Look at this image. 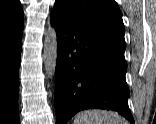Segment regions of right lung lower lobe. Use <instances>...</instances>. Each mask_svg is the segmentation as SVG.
Returning a JSON list of instances; mask_svg holds the SVG:
<instances>
[{
    "instance_id": "1",
    "label": "right lung lower lobe",
    "mask_w": 156,
    "mask_h": 124,
    "mask_svg": "<svg viewBox=\"0 0 156 124\" xmlns=\"http://www.w3.org/2000/svg\"><path fill=\"white\" fill-rule=\"evenodd\" d=\"M23 27L0 30V124H20L18 79Z\"/></svg>"
}]
</instances>
